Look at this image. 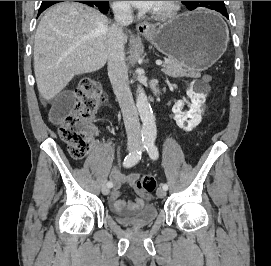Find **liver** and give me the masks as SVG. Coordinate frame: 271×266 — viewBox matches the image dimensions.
<instances>
[{"label": "liver", "mask_w": 271, "mask_h": 266, "mask_svg": "<svg viewBox=\"0 0 271 266\" xmlns=\"http://www.w3.org/2000/svg\"><path fill=\"white\" fill-rule=\"evenodd\" d=\"M110 27L105 15L81 3H59L43 15L34 41V72L45 100L58 95L74 76L104 67Z\"/></svg>", "instance_id": "obj_1"}]
</instances>
